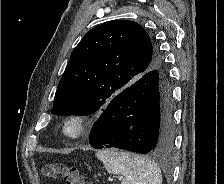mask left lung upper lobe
<instances>
[{
	"label": "left lung upper lobe",
	"mask_w": 224,
	"mask_h": 184,
	"mask_svg": "<svg viewBox=\"0 0 224 184\" xmlns=\"http://www.w3.org/2000/svg\"><path fill=\"white\" fill-rule=\"evenodd\" d=\"M157 48L141 25L113 20L87 32L71 53L59 81L52 114L90 115L121 91L161 69Z\"/></svg>",
	"instance_id": "1"
}]
</instances>
